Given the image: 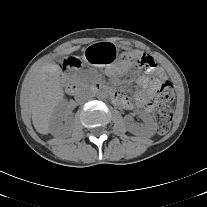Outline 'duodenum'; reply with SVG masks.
<instances>
[{"label":"duodenum","instance_id":"410a0bca","mask_svg":"<svg viewBox=\"0 0 207 207\" xmlns=\"http://www.w3.org/2000/svg\"><path fill=\"white\" fill-rule=\"evenodd\" d=\"M67 90L68 92H70L71 94H78L79 92V88L77 87V85L75 84H70L67 86ZM93 90L95 92H109L110 95L112 96V98L115 97V92L110 91L108 87H106L103 84L97 83L93 86Z\"/></svg>","mask_w":207,"mask_h":207}]
</instances>
